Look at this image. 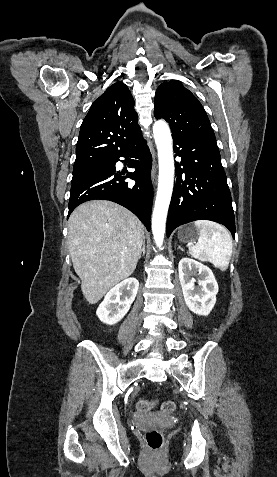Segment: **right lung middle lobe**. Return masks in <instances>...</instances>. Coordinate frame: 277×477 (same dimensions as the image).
Segmentation results:
<instances>
[{
  "mask_svg": "<svg viewBox=\"0 0 277 477\" xmlns=\"http://www.w3.org/2000/svg\"><path fill=\"white\" fill-rule=\"evenodd\" d=\"M101 164H97V165H92V166H87V167H81V168H74L73 170V177H72V181L82 177L83 175L85 174H88L90 173L91 171H93L94 169H96L97 167H99Z\"/></svg>",
  "mask_w": 277,
  "mask_h": 477,
  "instance_id": "right-lung-middle-lobe-1",
  "label": "right lung middle lobe"
}]
</instances>
